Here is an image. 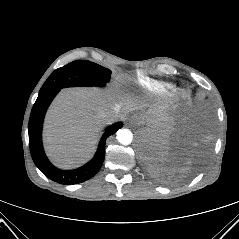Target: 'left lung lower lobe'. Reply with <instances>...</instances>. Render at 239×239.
Instances as JSON below:
<instances>
[{"label":"left lung lower lobe","mask_w":239,"mask_h":239,"mask_svg":"<svg viewBox=\"0 0 239 239\" xmlns=\"http://www.w3.org/2000/svg\"><path fill=\"white\" fill-rule=\"evenodd\" d=\"M169 147L170 140L165 136H147L142 140L140 152L153 174H160Z\"/></svg>","instance_id":"left-lung-lower-lobe-1"}]
</instances>
